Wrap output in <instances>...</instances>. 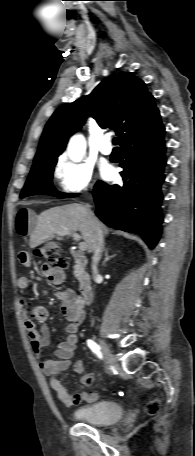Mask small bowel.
Wrapping results in <instances>:
<instances>
[{
	"label": "small bowel",
	"mask_w": 195,
	"mask_h": 456,
	"mask_svg": "<svg viewBox=\"0 0 195 456\" xmlns=\"http://www.w3.org/2000/svg\"><path fill=\"white\" fill-rule=\"evenodd\" d=\"M33 213L31 210L23 208L16 215L15 227L21 236L29 235L32 228ZM20 263L25 267L31 266V257L28 252L21 251L18 255ZM39 272L42 276L54 285H60L65 280L63 267H52L46 263L41 264ZM30 287V280L21 277L17 281L18 293L25 296ZM56 299L61 304L62 313L67 320L65 327L66 338L60 342L55 351V358H46L41 362V368L49 379L50 387L55 391L58 399L65 406H76L81 402H94L98 399V393L82 392L70 395L59 379V374L69 368L71 359L74 356L78 343V329L84 320L83 302L79 296L71 289H59L54 293ZM20 307L24 317V325L30 340V345L36 356L40 357L42 349L50 344L51 332L48 326L43 325L40 329L34 321L44 322L48 317L45 307L34 305L25 297L20 299ZM74 370L80 374L81 382L84 386H91L95 381L93 374L87 373L84 363L77 361Z\"/></svg>",
	"instance_id": "c3829d8e"
}]
</instances>
